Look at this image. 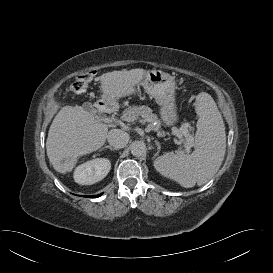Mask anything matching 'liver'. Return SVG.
Instances as JSON below:
<instances>
[{"instance_id":"1","label":"liver","mask_w":273,"mask_h":273,"mask_svg":"<svg viewBox=\"0 0 273 273\" xmlns=\"http://www.w3.org/2000/svg\"><path fill=\"white\" fill-rule=\"evenodd\" d=\"M146 73L138 68L103 74L100 79L102 101L115 105L120 98L134 94L135 86ZM109 127L82 106H64L53 119L46 141L47 156L55 171L71 172L79 157L101 148Z\"/></svg>"}]
</instances>
